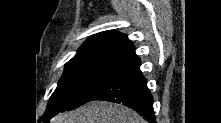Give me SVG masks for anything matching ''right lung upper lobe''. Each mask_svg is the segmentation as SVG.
<instances>
[{"instance_id": "obj_1", "label": "right lung upper lobe", "mask_w": 221, "mask_h": 123, "mask_svg": "<svg viewBox=\"0 0 221 123\" xmlns=\"http://www.w3.org/2000/svg\"><path fill=\"white\" fill-rule=\"evenodd\" d=\"M88 50L109 51L130 58L136 57L134 46L127 36L117 31H104L90 37L79 49Z\"/></svg>"}]
</instances>
